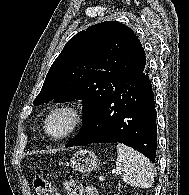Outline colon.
I'll list each match as a JSON object with an SVG mask.
<instances>
[{
	"instance_id": "obj_1",
	"label": "colon",
	"mask_w": 189,
	"mask_h": 195,
	"mask_svg": "<svg viewBox=\"0 0 189 195\" xmlns=\"http://www.w3.org/2000/svg\"><path fill=\"white\" fill-rule=\"evenodd\" d=\"M35 195H57L55 188L43 177H36L33 182ZM68 195H81L83 190L81 185L69 180L65 183Z\"/></svg>"
}]
</instances>
